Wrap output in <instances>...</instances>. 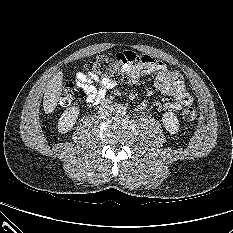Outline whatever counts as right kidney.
I'll list each match as a JSON object with an SVG mask.
<instances>
[{
    "label": "right kidney",
    "instance_id": "obj_1",
    "mask_svg": "<svg viewBox=\"0 0 233 233\" xmlns=\"http://www.w3.org/2000/svg\"><path fill=\"white\" fill-rule=\"evenodd\" d=\"M79 111V108L76 106L69 107L65 110L58 122V131L60 133H66L72 129L78 118Z\"/></svg>",
    "mask_w": 233,
    "mask_h": 233
}]
</instances>
